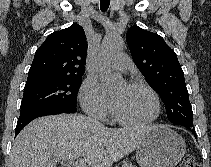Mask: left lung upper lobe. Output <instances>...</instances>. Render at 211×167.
I'll use <instances>...</instances> for the list:
<instances>
[{"label":"left lung upper lobe","instance_id":"left-lung-upper-lobe-1","mask_svg":"<svg viewBox=\"0 0 211 167\" xmlns=\"http://www.w3.org/2000/svg\"><path fill=\"white\" fill-rule=\"evenodd\" d=\"M126 40L134 63L163 100L167 118L173 124L193 126L192 107L176 53L161 36L138 26L127 31Z\"/></svg>","mask_w":211,"mask_h":167}]
</instances>
